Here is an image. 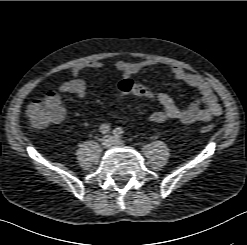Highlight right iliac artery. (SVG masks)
Masks as SVG:
<instances>
[{
    "instance_id": "obj_1",
    "label": "right iliac artery",
    "mask_w": 247,
    "mask_h": 245,
    "mask_svg": "<svg viewBox=\"0 0 247 245\" xmlns=\"http://www.w3.org/2000/svg\"><path fill=\"white\" fill-rule=\"evenodd\" d=\"M99 130L101 133L106 134L110 131V126L108 124H102Z\"/></svg>"
}]
</instances>
